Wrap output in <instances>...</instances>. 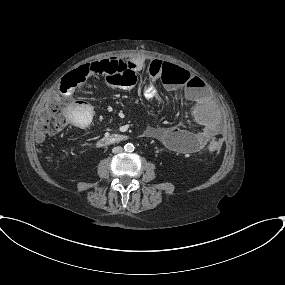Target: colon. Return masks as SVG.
Returning <instances> with one entry per match:
<instances>
[{
  "label": "colon",
  "instance_id": "5ec220e1",
  "mask_svg": "<svg viewBox=\"0 0 285 285\" xmlns=\"http://www.w3.org/2000/svg\"><path fill=\"white\" fill-rule=\"evenodd\" d=\"M163 76L169 78H184L187 71L183 68L168 65L164 66ZM92 77H101L110 84L125 90H132L137 81L138 74L131 69L123 60H100L93 63L81 65L77 69L67 74L62 81L63 90L69 95L78 90V85L85 79ZM66 97L60 94H54L48 100L45 112L37 119L35 128V137L40 140L49 137L54 133L60 132L67 123L68 113L65 106ZM89 120L82 119L79 126L86 127L90 124ZM221 149L218 140H213L208 145V151L217 154Z\"/></svg>",
  "mask_w": 285,
  "mask_h": 285
}]
</instances>
